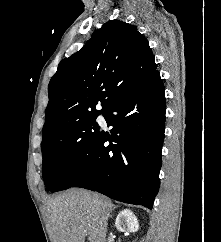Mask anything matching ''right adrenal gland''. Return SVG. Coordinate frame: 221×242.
<instances>
[{"label": "right adrenal gland", "mask_w": 221, "mask_h": 242, "mask_svg": "<svg viewBox=\"0 0 221 242\" xmlns=\"http://www.w3.org/2000/svg\"><path fill=\"white\" fill-rule=\"evenodd\" d=\"M118 206H114V209H116Z\"/></svg>", "instance_id": "2a0ac1e0"}]
</instances>
